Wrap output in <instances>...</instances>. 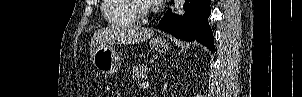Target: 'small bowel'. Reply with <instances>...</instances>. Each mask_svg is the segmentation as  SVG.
<instances>
[{"mask_svg": "<svg viewBox=\"0 0 302 97\" xmlns=\"http://www.w3.org/2000/svg\"><path fill=\"white\" fill-rule=\"evenodd\" d=\"M118 96L121 97L122 95H121V94H118Z\"/></svg>", "mask_w": 302, "mask_h": 97, "instance_id": "c3829d8e", "label": "small bowel"}]
</instances>
